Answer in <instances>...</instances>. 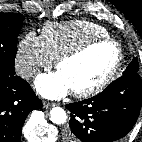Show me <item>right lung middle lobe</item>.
I'll return each instance as SVG.
<instances>
[{"label": "right lung middle lobe", "mask_w": 142, "mask_h": 142, "mask_svg": "<svg viewBox=\"0 0 142 142\" xmlns=\"http://www.w3.org/2000/svg\"><path fill=\"white\" fill-rule=\"evenodd\" d=\"M24 17L18 13H0V74H15L18 35Z\"/></svg>", "instance_id": "obj_1"}]
</instances>
